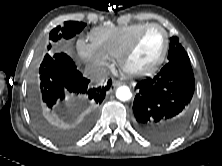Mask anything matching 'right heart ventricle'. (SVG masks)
I'll use <instances>...</instances> for the list:
<instances>
[{
  "label": "right heart ventricle",
  "instance_id": "right-heart-ventricle-1",
  "mask_svg": "<svg viewBox=\"0 0 222 166\" xmlns=\"http://www.w3.org/2000/svg\"><path fill=\"white\" fill-rule=\"evenodd\" d=\"M149 23L140 22L126 26L97 28L91 32V43L106 57L118 59L133 37Z\"/></svg>",
  "mask_w": 222,
  "mask_h": 166
}]
</instances>
